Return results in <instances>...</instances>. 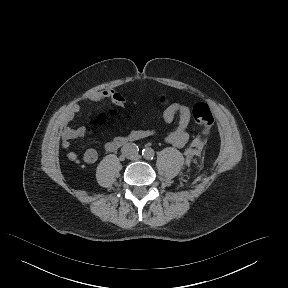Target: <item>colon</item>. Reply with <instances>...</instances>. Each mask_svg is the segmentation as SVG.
Masks as SVG:
<instances>
[{
    "instance_id": "colon-1",
    "label": "colon",
    "mask_w": 288,
    "mask_h": 288,
    "mask_svg": "<svg viewBox=\"0 0 288 288\" xmlns=\"http://www.w3.org/2000/svg\"><path fill=\"white\" fill-rule=\"evenodd\" d=\"M116 116V114L108 111V110H103L99 112L94 120H93V125L95 128L100 129L103 128L106 123L108 122L109 118ZM194 117L196 119V122L200 126H207L211 123V114L209 109L204 106L200 105L196 109V114H194ZM88 154H86L87 156Z\"/></svg>"
}]
</instances>
